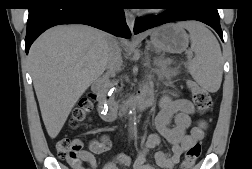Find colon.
<instances>
[{"label":"colon","instance_id":"1","mask_svg":"<svg viewBox=\"0 0 252 169\" xmlns=\"http://www.w3.org/2000/svg\"><path fill=\"white\" fill-rule=\"evenodd\" d=\"M192 99L198 111L202 114L207 113L212 107V98L208 91L201 88L194 82H189ZM93 107V96L89 95L80 100L79 105L74 109L70 120L71 127L75 128L86 120ZM83 148L82 142L78 139L61 138L56 143L58 156L68 162L75 169L80 168V152ZM201 154V145L195 143L190 146L183 157L181 169H191Z\"/></svg>","mask_w":252,"mask_h":169}]
</instances>
